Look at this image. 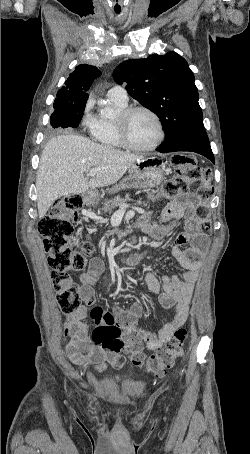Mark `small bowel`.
Segmentation results:
<instances>
[{"label": "small bowel", "mask_w": 250, "mask_h": 454, "mask_svg": "<svg viewBox=\"0 0 250 454\" xmlns=\"http://www.w3.org/2000/svg\"><path fill=\"white\" fill-rule=\"evenodd\" d=\"M192 208L193 195L186 193L163 209L161 224L150 222L140 224L141 230L157 241L165 237L180 219H184L185 227V231L177 236L176 245L170 250L173 258L184 269L183 277L163 275L161 281L152 273H147L145 277L149 290L156 294L159 303L164 308H172L174 311L171 320L156 334H144L145 346L150 351L158 350L168 342L188 316V303L208 247V237L199 230L198 221L192 215ZM187 243L189 246L182 250L180 246ZM140 257L141 255H138L136 259ZM103 273L102 260L97 257L92 258L87 270L80 275L79 294L84 306L68 316L63 329V337L70 338L65 345L66 356L70 362L79 368L89 367L98 373L104 371L107 365L120 368L124 362L120 354L112 353L94 344L90 339V328L86 324L89 315L86 307H93L96 304L93 285L103 277ZM142 313L143 308L139 302L132 304L129 309L116 308L115 310L117 318L128 314L136 320L142 316ZM140 333L143 334L141 331Z\"/></svg>", "instance_id": "1"}]
</instances>
